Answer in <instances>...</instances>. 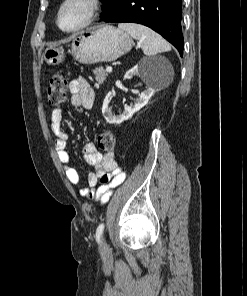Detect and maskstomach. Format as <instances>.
<instances>
[{
  "mask_svg": "<svg viewBox=\"0 0 247 296\" xmlns=\"http://www.w3.org/2000/svg\"><path fill=\"white\" fill-rule=\"evenodd\" d=\"M133 40L124 31L111 25L81 32L73 38L69 53L82 64L111 62L128 53ZM43 60L48 65H58L65 55L62 49L49 47L43 51Z\"/></svg>",
  "mask_w": 247,
  "mask_h": 296,
  "instance_id": "obj_1",
  "label": "stomach"
}]
</instances>
